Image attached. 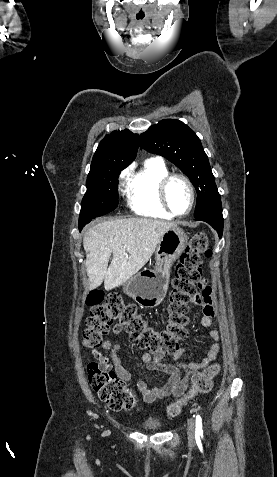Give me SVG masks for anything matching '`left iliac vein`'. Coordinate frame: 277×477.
Masks as SVG:
<instances>
[{
    "label": "left iliac vein",
    "instance_id": "left-iliac-vein-1",
    "mask_svg": "<svg viewBox=\"0 0 277 477\" xmlns=\"http://www.w3.org/2000/svg\"><path fill=\"white\" fill-rule=\"evenodd\" d=\"M195 432H196L195 421L194 419L191 418L188 420V427H187L188 439H189V442L191 443L195 442Z\"/></svg>",
    "mask_w": 277,
    "mask_h": 477
}]
</instances>
